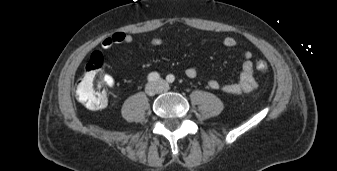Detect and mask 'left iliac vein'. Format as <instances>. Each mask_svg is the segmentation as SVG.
I'll use <instances>...</instances> for the list:
<instances>
[{
  "mask_svg": "<svg viewBox=\"0 0 337 171\" xmlns=\"http://www.w3.org/2000/svg\"><path fill=\"white\" fill-rule=\"evenodd\" d=\"M156 84L160 87V91L161 92H163V91H166V89H167V86H166V84H165V82L163 81V80H158L157 82H156Z\"/></svg>",
  "mask_w": 337,
  "mask_h": 171,
  "instance_id": "1",
  "label": "left iliac vein"
}]
</instances>
